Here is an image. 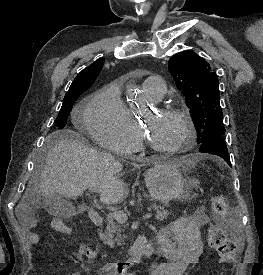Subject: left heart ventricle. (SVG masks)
I'll use <instances>...</instances> for the list:
<instances>
[{"mask_svg":"<svg viewBox=\"0 0 263 275\" xmlns=\"http://www.w3.org/2000/svg\"><path fill=\"white\" fill-rule=\"evenodd\" d=\"M143 124L150 140L163 148L176 147L186 134L185 125L179 118L156 111L147 115Z\"/></svg>","mask_w":263,"mask_h":275,"instance_id":"b2bd125f","label":"left heart ventricle"}]
</instances>
